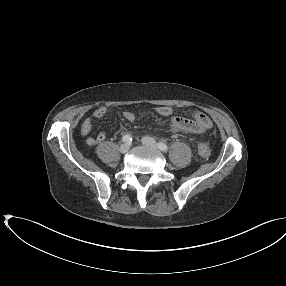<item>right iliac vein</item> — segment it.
<instances>
[{"label":"right iliac vein","instance_id":"obj_1","mask_svg":"<svg viewBox=\"0 0 286 286\" xmlns=\"http://www.w3.org/2000/svg\"><path fill=\"white\" fill-rule=\"evenodd\" d=\"M129 151V145L128 144H122L120 146V152L121 153H127Z\"/></svg>","mask_w":286,"mask_h":286}]
</instances>
